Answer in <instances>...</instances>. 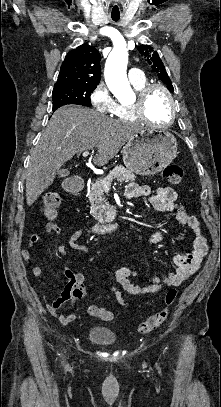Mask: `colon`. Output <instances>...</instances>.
<instances>
[{"label":"colon","mask_w":221,"mask_h":407,"mask_svg":"<svg viewBox=\"0 0 221 407\" xmlns=\"http://www.w3.org/2000/svg\"><path fill=\"white\" fill-rule=\"evenodd\" d=\"M164 179L172 184H178L183 179V168L178 163H169L163 170ZM60 206V195L56 191H46L43 196V213L47 218L46 227L51 231H55L58 226L55 218ZM68 290L72 293L75 300L84 299V285L80 282H74L68 286ZM177 291L175 288H170L164 296L165 307L148 317L144 322L140 323L137 331L141 334H147L158 328L169 317L170 307L176 300ZM90 314L104 320L110 321L113 318L111 311L102 309L96 306H91Z\"/></svg>","instance_id":"5ec220e1"}]
</instances>
